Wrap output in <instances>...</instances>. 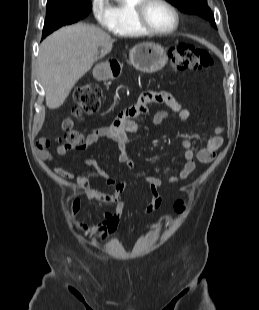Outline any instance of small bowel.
I'll list each match as a JSON object with an SVG mask.
<instances>
[{
    "mask_svg": "<svg viewBox=\"0 0 259 310\" xmlns=\"http://www.w3.org/2000/svg\"><path fill=\"white\" fill-rule=\"evenodd\" d=\"M152 103L166 104L181 120H186L190 116L189 109L177 102L171 94L167 92H148L143 94L135 105L119 113L111 125L89 131L82 144L77 148L83 150L97 142L110 140L116 144L119 150V162L132 167L125 144L129 140L130 135L138 130V125L134 122V118L147 113ZM167 117L168 113L166 111H159L155 114L153 123L160 124ZM52 144H56L54 150L50 149ZM181 144L185 149V163L176 174L165 179L150 175L144 177V181L149 185L152 193V200L145 209L146 214H152L160 207L162 203L160 188L166 185H175L186 180L196 168V159L201 163H209L215 158L217 151L223 144L222 129H216V134L210 137L206 145L198 151H194L191 148L189 140H183ZM73 148L64 144L60 138H42L37 142L36 154L43 161L56 162V172L62 177L72 179L75 177L74 171L63 167L60 158L67 155ZM85 165L87 170L82 171L76 176L78 187L87 197L102 203L111 204L113 211L105 213L97 223L87 224L78 222L76 226L84 233L105 240L117 230L124 213L122 193L127 187L132 186L134 182L130 180H117L116 177L109 176L107 171L94 159H87ZM92 177L103 179L108 186L114 187V191L112 193H105L93 189L89 184V179Z\"/></svg>",
    "mask_w": 259,
    "mask_h": 310,
    "instance_id": "1",
    "label": "small bowel"
}]
</instances>
